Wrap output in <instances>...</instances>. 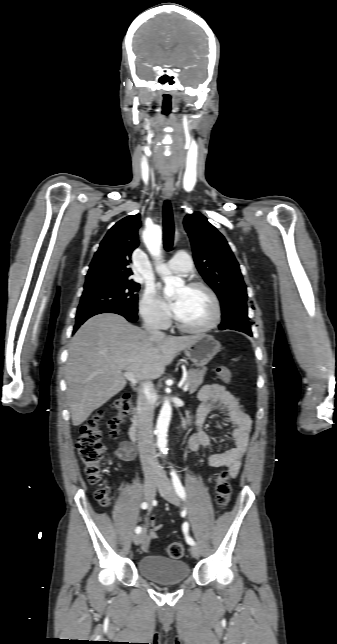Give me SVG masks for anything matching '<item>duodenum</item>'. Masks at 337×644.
I'll return each mask as SVG.
<instances>
[{
	"instance_id": "obj_1",
	"label": "duodenum",
	"mask_w": 337,
	"mask_h": 644,
	"mask_svg": "<svg viewBox=\"0 0 337 644\" xmlns=\"http://www.w3.org/2000/svg\"><path fill=\"white\" fill-rule=\"evenodd\" d=\"M188 425H189V421L184 420L182 422V429L184 431H186L187 428H188ZM139 428H140V414H139L138 410L136 408H134L133 409V419H132L131 426L129 428V437H130V440H131V442L133 444H135L137 442V440H138Z\"/></svg>"
}]
</instances>
